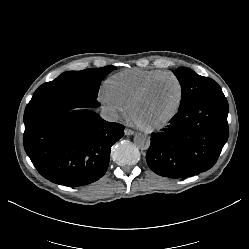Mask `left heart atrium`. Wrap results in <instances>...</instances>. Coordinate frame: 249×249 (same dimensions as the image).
<instances>
[{
    "instance_id": "1",
    "label": "left heart atrium",
    "mask_w": 249,
    "mask_h": 249,
    "mask_svg": "<svg viewBox=\"0 0 249 249\" xmlns=\"http://www.w3.org/2000/svg\"><path fill=\"white\" fill-rule=\"evenodd\" d=\"M131 121L136 125H142L133 114L131 115Z\"/></svg>"
}]
</instances>
